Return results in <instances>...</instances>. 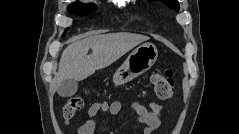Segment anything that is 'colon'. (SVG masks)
I'll return each mask as SVG.
<instances>
[{
    "mask_svg": "<svg viewBox=\"0 0 239 134\" xmlns=\"http://www.w3.org/2000/svg\"><path fill=\"white\" fill-rule=\"evenodd\" d=\"M150 85L154 94L160 99H169L174 91L175 81L172 69H166L163 73L152 75ZM84 107V96L74 95L68 99L63 107V117L65 120L72 119L77 112Z\"/></svg>",
    "mask_w": 239,
    "mask_h": 134,
    "instance_id": "obj_1",
    "label": "colon"
}]
</instances>
